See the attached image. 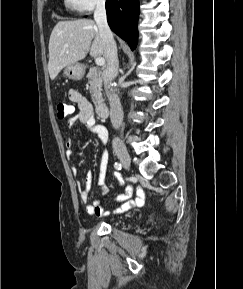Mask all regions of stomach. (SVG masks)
Wrapping results in <instances>:
<instances>
[{
    "label": "stomach",
    "mask_w": 243,
    "mask_h": 289,
    "mask_svg": "<svg viewBox=\"0 0 243 289\" xmlns=\"http://www.w3.org/2000/svg\"><path fill=\"white\" fill-rule=\"evenodd\" d=\"M64 75L70 79L80 80L84 76L85 69L80 63H74L64 68Z\"/></svg>",
    "instance_id": "obj_1"
}]
</instances>
